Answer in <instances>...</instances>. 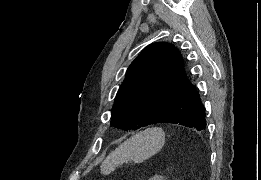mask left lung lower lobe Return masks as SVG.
Listing matches in <instances>:
<instances>
[{"instance_id":"left-lung-lower-lobe-1","label":"left lung lower lobe","mask_w":261,"mask_h":180,"mask_svg":"<svg viewBox=\"0 0 261 180\" xmlns=\"http://www.w3.org/2000/svg\"><path fill=\"white\" fill-rule=\"evenodd\" d=\"M156 123L180 124L197 130L206 127L205 108L197 88L187 82L173 101L153 120Z\"/></svg>"}]
</instances>
